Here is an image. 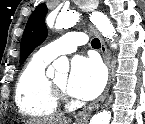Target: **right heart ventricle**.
<instances>
[{"instance_id":"right-heart-ventricle-1","label":"right heart ventricle","mask_w":145,"mask_h":124,"mask_svg":"<svg viewBox=\"0 0 145 124\" xmlns=\"http://www.w3.org/2000/svg\"><path fill=\"white\" fill-rule=\"evenodd\" d=\"M51 60L34 55L21 71L15 89L19 111L35 118L54 116L58 102L52 95L45 69Z\"/></svg>"}]
</instances>
